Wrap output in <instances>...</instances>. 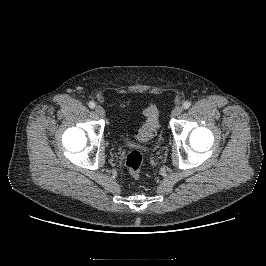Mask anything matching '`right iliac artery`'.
<instances>
[{
  "instance_id": "82829eb1",
  "label": "right iliac artery",
  "mask_w": 266,
  "mask_h": 266,
  "mask_svg": "<svg viewBox=\"0 0 266 266\" xmlns=\"http://www.w3.org/2000/svg\"><path fill=\"white\" fill-rule=\"evenodd\" d=\"M88 106L93 109L95 108V103L91 101L88 103Z\"/></svg>"
}]
</instances>
